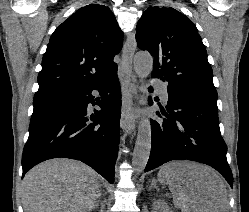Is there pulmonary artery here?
<instances>
[{"label":"pulmonary artery","mask_w":249,"mask_h":212,"mask_svg":"<svg viewBox=\"0 0 249 212\" xmlns=\"http://www.w3.org/2000/svg\"><path fill=\"white\" fill-rule=\"evenodd\" d=\"M156 90L158 91L160 98L164 104H167L168 102V90L167 85L165 83L158 84L156 86Z\"/></svg>","instance_id":"obj_1"}]
</instances>
